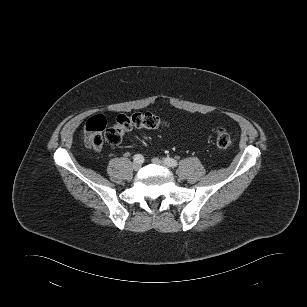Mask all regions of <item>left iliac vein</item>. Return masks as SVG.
I'll use <instances>...</instances> for the list:
<instances>
[{"label": "left iliac vein", "mask_w": 307, "mask_h": 307, "mask_svg": "<svg viewBox=\"0 0 307 307\" xmlns=\"http://www.w3.org/2000/svg\"><path fill=\"white\" fill-rule=\"evenodd\" d=\"M152 162H153L154 164H156V165H162V166L168 167L167 164H165L164 162H162V161H161L160 159H158V158H153V159H152Z\"/></svg>", "instance_id": "1"}]
</instances>
